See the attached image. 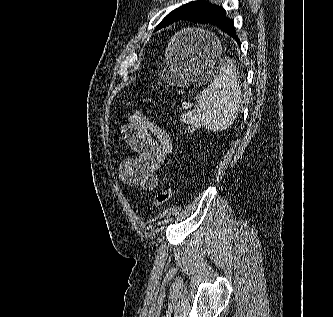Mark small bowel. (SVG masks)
<instances>
[{"mask_svg": "<svg viewBox=\"0 0 333 317\" xmlns=\"http://www.w3.org/2000/svg\"><path fill=\"white\" fill-rule=\"evenodd\" d=\"M122 138L136 153L122 160L119 179L131 188L152 193L158 186V172L172 152L173 141L169 132L144 113H132L122 127Z\"/></svg>", "mask_w": 333, "mask_h": 317, "instance_id": "small-bowel-1", "label": "small bowel"}]
</instances>
